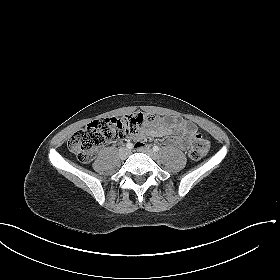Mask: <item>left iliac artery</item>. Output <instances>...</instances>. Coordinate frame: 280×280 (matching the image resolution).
I'll return each instance as SVG.
<instances>
[{
    "label": "left iliac artery",
    "mask_w": 280,
    "mask_h": 280,
    "mask_svg": "<svg viewBox=\"0 0 280 280\" xmlns=\"http://www.w3.org/2000/svg\"><path fill=\"white\" fill-rule=\"evenodd\" d=\"M153 151L158 152L159 151V147L158 146H154L153 147Z\"/></svg>",
    "instance_id": "44dca946"
}]
</instances>
